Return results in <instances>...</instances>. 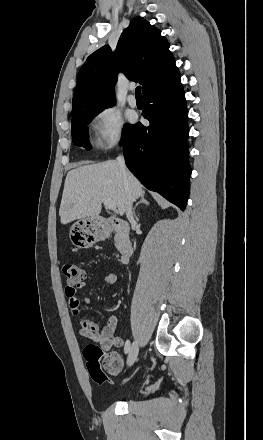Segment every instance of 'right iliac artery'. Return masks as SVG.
Returning <instances> with one entry per match:
<instances>
[{
	"label": "right iliac artery",
	"mask_w": 263,
	"mask_h": 440,
	"mask_svg": "<svg viewBox=\"0 0 263 440\" xmlns=\"http://www.w3.org/2000/svg\"><path fill=\"white\" fill-rule=\"evenodd\" d=\"M130 347H131V343H130L129 340H127L126 343H125V346H124V352H125V354H127V353L129 352Z\"/></svg>",
	"instance_id": "1"
}]
</instances>
